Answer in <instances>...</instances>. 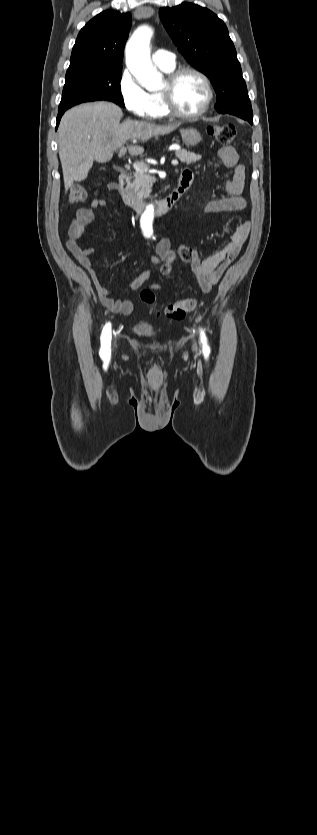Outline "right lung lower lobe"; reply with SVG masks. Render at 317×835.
I'll list each match as a JSON object with an SVG mask.
<instances>
[{"label":"right lung lower lobe","mask_w":317,"mask_h":835,"mask_svg":"<svg viewBox=\"0 0 317 835\" xmlns=\"http://www.w3.org/2000/svg\"><path fill=\"white\" fill-rule=\"evenodd\" d=\"M66 110H67V109H64V110H59V111H58V116H57V126H56V129H57L58 125H59V122H60L61 116L64 114V112H65Z\"/></svg>","instance_id":"98d812e1"}]
</instances>
